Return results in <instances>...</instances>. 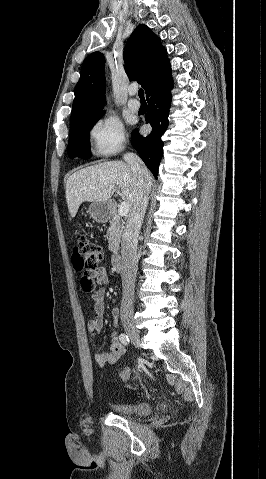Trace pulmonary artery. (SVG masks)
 <instances>
[{
  "instance_id": "pulmonary-artery-1",
  "label": "pulmonary artery",
  "mask_w": 266,
  "mask_h": 479,
  "mask_svg": "<svg viewBox=\"0 0 266 479\" xmlns=\"http://www.w3.org/2000/svg\"><path fill=\"white\" fill-rule=\"evenodd\" d=\"M128 93H129L130 96H133V95H135L136 92L134 90L130 89L128 91ZM127 105H128L129 110L132 111V112H137L140 108L139 101L134 99V98L129 99Z\"/></svg>"
}]
</instances>
